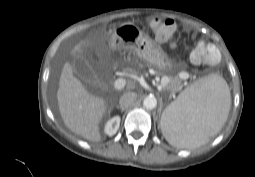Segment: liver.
<instances>
[{
  "label": "liver",
  "instance_id": "liver-1",
  "mask_svg": "<svg viewBox=\"0 0 255 177\" xmlns=\"http://www.w3.org/2000/svg\"><path fill=\"white\" fill-rule=\"evenodd\" d=\"M90 43L82 40L72 50L75 56L82 52V47ZM59 111L63 122L72 132L83 138L98 142L101 140L99 124L106 113L107 102L87 91L83 84L73 75V69L67 62L64 64L57 90Z\"/></svg>",
  "mask_w": 255,
  "mask_h": 177
}]
</instances>
